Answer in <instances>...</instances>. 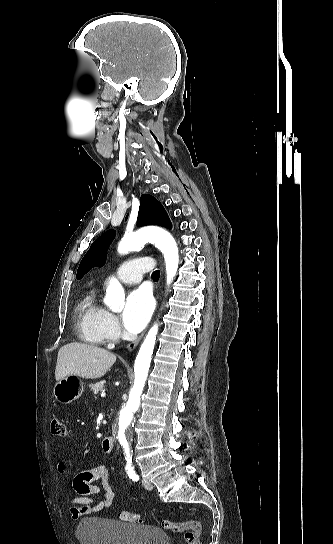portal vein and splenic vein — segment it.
Here are the masks:
<instances>
[{"mask_svg":"<svg viewBox=\"0 0 333 544\" xmlns=\"http://www.w3.org/2000/svg\"><path fill=\"white\" fill-rule=\"evenodd\" d=\"M105 396H106V394H105L104 392H102V393H101V397L104 398Z\"/></svg>","mask_w":333,"mask_h":544,"instance_id":"portal-vein-and-splenic-vein-1","label":"portal vein and splenic vein"}]
</instances>
